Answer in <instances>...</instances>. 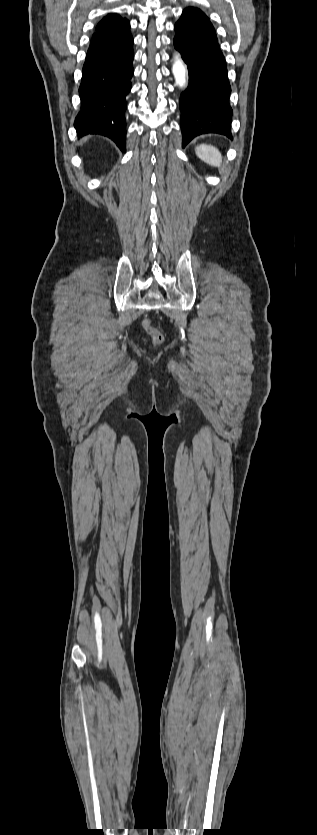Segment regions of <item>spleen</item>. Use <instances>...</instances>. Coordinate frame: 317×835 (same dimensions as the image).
Here are the masks:
<instances>
[{
	"instance_id": "1",
	"label": "spleen",
	"mask_w": 317,
	"mask_h": 835,
	"mask_svg": "<svg viewBox=\"0 0 317 835\" xmlns=\"http://www.w3.org/2000/svg\"><path fill=\"white\" fill-rule=\"evenodd\" d=\"M197 156L205 163L220 167L222 164V156L219 150L211 145L201 144L196 147Z\"/></svg>"
}]
</instances>
